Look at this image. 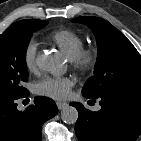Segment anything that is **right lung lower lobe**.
Here are the masks:
<instances>
[{"label":"right lung lower lobe","instance_id":"98d812e1","mask_svg":"<svg viewBox=\"0 0 141 141\" xmlns=\"http://www.w3.org/2000/svg\"><path fill=\"white\" fill-rule=\"evenodd\" d=\"M28 95L27 91L22 96L0 98V141H41L43 123L54 117L58 109L52 99L37 96L34 105L19 111L16 100Z\"/></svg>","mask_w":141,"mask_h":141}]
</instances>
